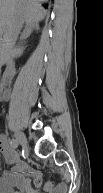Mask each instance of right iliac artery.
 Listing matches in <instances>:
<instances>
[{
  "label": "right iliac artery",
  "instance_id": "1",
  "mask_svg": "<svg viewBox=\"0 0 103 193\" xmlns=\"http://www.w3.org/2000/svg\"><path fill=\"white\" fill-rule=\"evenodd\" d=\"M10 145H11L14 149H16V148H18L19 143H18V141H17L16 139H11V140H10Z\"/></svg>",
  "mask_w": 103,
  "mask_h": 193
}]
</instances>
